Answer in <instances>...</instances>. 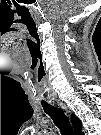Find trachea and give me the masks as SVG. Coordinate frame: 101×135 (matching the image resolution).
<instances>
[{"label": "trachea", "instance_id": "obj_1", "mask_svg": "<svg viewBox=\"0 0 101 135\" xmlns=\"http://www.w3.org/2000/svg\"><path fill=\"white\" fill-rule=\"evenodd\" d=\"M42 106L44 111L52 118L53 122L59 128L62 135L75 134L68 117L61 109L55 108L48 103H42Z\"/></svg>", "mask_w": 101, "mask_h": 135}]
</instances>
